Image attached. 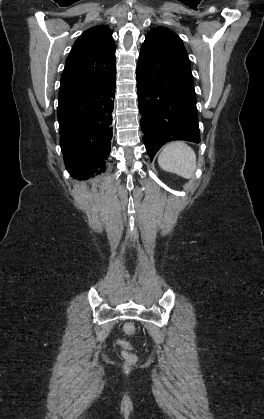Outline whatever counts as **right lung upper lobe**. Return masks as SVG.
<instances>
[{"mask_svg": "<svg viewBox=\"0 0 264 419\" xmlns=\"http://www.w3.org/2000/svg\"><path fill=\"white\" fill-rule=\"evenodd\" d=\"M115 43L104 25L86 30L75 42L61 76L60 91L104 81L115 69Z\"/></svg>", "mask_w": 264, "mask_h": 419, "instance_id": "1", "label": "right lung upper lobe"}]
</instances>
